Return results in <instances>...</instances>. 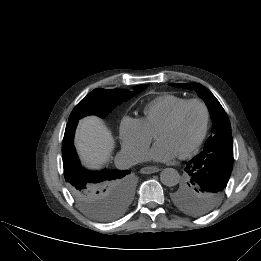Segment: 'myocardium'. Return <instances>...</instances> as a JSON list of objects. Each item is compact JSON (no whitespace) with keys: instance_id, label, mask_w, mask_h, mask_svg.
Listing matches in <instances>:
<instances>
[{"instance_id":"f54148a6","label":"myocardium","mask_w":261,"mask_h":261,"mask_svg":"<svg viewBox=\"0 0 261 261\" xmlns=\"http://www.w3.org/2000/svg\"><path fill=\"white\" fill-rule=\"evenodd\" d=\"M191 104H198L199 106L202 107L204 112L203 126L197 139L188 148H186L182 153L179 154L180 158H185L189 156L191 153L196 151L203 143L207 135L209 122H210V111L207 104L202 99L199 98L187 99L173 111L170 117L157 130L158 132L160 129L168 128L176 124L182 112L185 110L186 107H188Z\"/></svg>"}]
</instances>
